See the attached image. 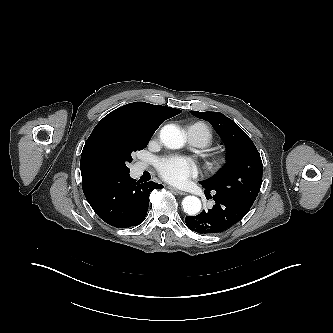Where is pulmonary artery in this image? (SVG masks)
Here are the masks:
<instances>
[{"label":"pulmonary artery","instance_id":"1","mask_svg":"<svg viewBox=\"0 0 333 333\" xmlns=\"http://www.w3.org/2000/svg\"><path fill=\"white\" fill-rule=\"evenodd\" d=\"M186 133L188 141L192 146L204 147L207 145L205 136L198 125L194 124L189 126ZM141 168H143V166H141Z\"/></svg>","mask_w":333,"mask_h":333}]
</instances>
